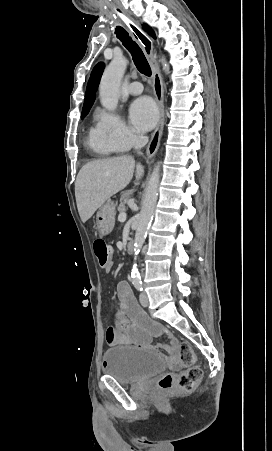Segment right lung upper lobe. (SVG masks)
<instances>
[{"mask_svg":"<svg viewBox=\"0 0 272 451\" xmlns=\"http://www.w3.org/2000/svg\"><path fill=\"white\" fill-rule=\"evenodd\" d=\"M103 69H104V64L99 63L95 66L94 70L92 71L88 85H87V89H86L83 108H91V106L93 105L95 96H96V90L98 88L100 78L103 73Z\"/></svg>","mask_w":272,"mask_h":451,"instance_id":"cb5924a9","label":"right lung upper lobe"}]
</instances>
